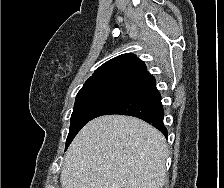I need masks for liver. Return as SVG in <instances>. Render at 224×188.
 <instances>
[{
	"label": "liver",
	"instance_id": "6515ba94",
	"mask_svg": "<svg viewBox=\"0 0 224 188\" xmlns=\"http://www.w3.org/2000/svg\"><path fill=\"white\" fill-rule=\"evenodd\" d=\"M167 144L148 123L106 115L89 121L70 145L62 188H163Z\"/></svg>",
	"mask_w": 224,
	"mask_h": 188
}]
</instances>
